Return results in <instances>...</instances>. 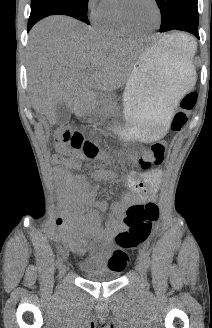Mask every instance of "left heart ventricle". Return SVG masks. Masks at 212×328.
<instances>
[{
    "label": "left heart ventricle",
    "mask_w": 212,
    "mask_h": 328,
    "mask_svg": "<svg viewBox=\"0 0 212 328\" xmlns=\"http://www.w3.org/2000/svg\"><path fill=\"white\" fill-rule=\"evenodd\" d=\"M123 7L136 28L148 29L156 25L157 12L151 0H123Z\"/></svg>",
    "instance_id": "1"
}]
</instances>
